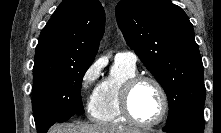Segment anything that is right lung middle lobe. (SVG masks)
<instances>
[{
	"label": "right lung middle lobe",
	"mask_w": 221,
	"mask_h": 133,
	"mask_svg": "<svg viewBox=\"0 0 221 133\" xmlns=\"http://www.w3.org/2000/svg\"><path fill=\"white\" fill-rule=\"evenodd\" d=\"M92 62L46 68L33 72L32 107L36 127L46 122H64L83 114L82 79Z\"/></svg>",
	"instance_id": "right-lung-middle-lobe-1"
}]
</instances>
